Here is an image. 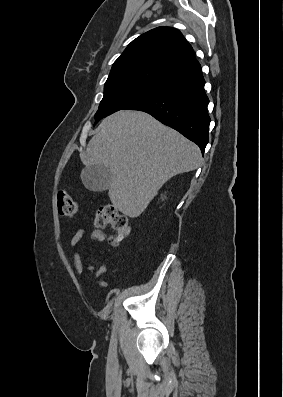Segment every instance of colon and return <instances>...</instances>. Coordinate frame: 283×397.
<instances>
[{
  "label": "colon",
  "mask_w": 283,
  "mask_h": 397,
  "mask_svg": "<svg viewBox=\"0 0 283 397\" xmlns=\"http://www.w3.org/2000/svg\"><path fill=\"white\" fill-rule=\"evenodd\" d=\"M57 205L60 215L72 216L78 211V204L73 196L65 190L57 193ZM95 224L99 227L110 225L114 235L110 237L112 245H118L130 234V226L126 216L120 214L112 205H103L96 210Z\"/></svg>",
  "instance_id": "colon-1"
}]
</instances>
